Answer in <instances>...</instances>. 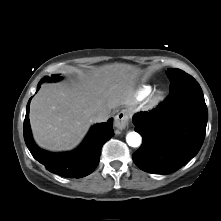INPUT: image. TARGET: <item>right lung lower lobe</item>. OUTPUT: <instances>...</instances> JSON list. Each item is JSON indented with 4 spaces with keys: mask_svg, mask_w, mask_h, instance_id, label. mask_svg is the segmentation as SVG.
Masks as SVG:
<instances>
[{
    "mask_svg": "<svg viewBox=\"0 0 221 221\" xmlns=\"http://www.w3.org/2000/svg\"><path fill=\"white\" fill-rule=\"evenodd\" d=\"M30 101L31 98L26 108L24 139L33 157L44 164L47 170L63 177L81 178L89 175L99 163L102 145L114 135L112 118L95 125L76 150L58 154L48 153L41 150L33 141L29 123Z\"/></svg>",
    "mask_w": 221,
    "mask_h": 221,
    "instance_id": "1",
    "label": "right lung lower lobe"
}]
</instances>
